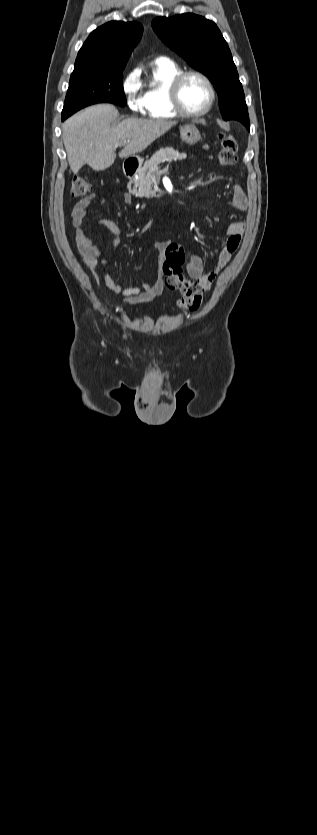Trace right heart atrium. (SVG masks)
Wrapping results in <instances>:
<instances>
[{
	"instance_id": "1",
	"label": "right heart atrium",
	"mask_w": 317,
	"mask_h": 835,
	"mask_svg": "<svg viewBox=\"0 0 317 835\" xmlns=\"http://www.w3.org/2000/svg\"><path fill=\"white\" fill-rule=\"evenodd\" d=\"M122 91L126 97L129 109L134 113H142L145 110L143 96L140 93L138 74L135 71L129 72L122 81Z\"/></svg>"
}]
</instances>
